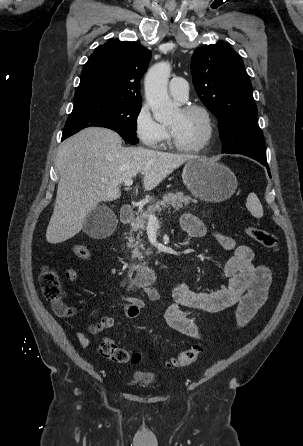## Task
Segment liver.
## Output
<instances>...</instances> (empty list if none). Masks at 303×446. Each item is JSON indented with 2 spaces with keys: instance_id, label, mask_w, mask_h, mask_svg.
Returning <instances> with one entry per match:
<instances>
[{
  "instance_id": "1",
  "label": "liver",
  "mask_w": 303,
  "mask_h": 446,
  "mask_svg": "<svg viewBox=\"0 0 303 446\" xmlns=\"http://www.w3.org/2000/svg\"><path fill=\"white\" fill-rule=\"evenodd\" d=\"M194 158L198 156L123 147L121 137L105 128L80 131L58 149L55 164L60 179L47 241L56 244L74 237L98 203L119 198L120 185L138 173L144 176V190L150 191Z\"/></svg>"
}]
</instances>
